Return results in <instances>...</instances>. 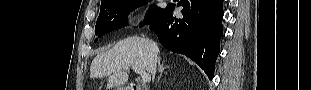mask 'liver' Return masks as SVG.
I'll use <instances>...</instances> for the list:
<instances>
[{
	"mask_svg": "<svg viewBox=\"0 0 311 90\" xmlns=\"http://www.w3.org/2000/svg\"><path fill=\"white\" fill-rule=\"evenodd\" d=\"M158 45L152 40L129 37L97 55L90 67V78L109 77L107 88L122 86L129 79V69L138 67L153 76L156 73Z\"/></svg>",
	"mask_w": 311,
	"mask_h": 90,
	"instance_id": "liver-1",
	"label": "liver"
}]
</instances>
